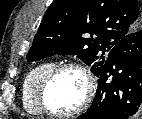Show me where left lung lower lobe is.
I'll return each instance as SVG.
<instances>
[{
	"mask_svg": "<svg viewBox=\"0 0 142 119\" xmlns=\"http://www.w3.org/2000/svg\"><path fill=\"white\" fill-rule=\"evenodd\" d=\"M96 96L78 119H128L142 109V29L124 36L97 75Z\"/></svg>",
	"mask_w": 142,
	"mask_h": 119,
	"instance_id": "0a47b994",
	"label": "left lung lower lobe"
}]
</instances>
